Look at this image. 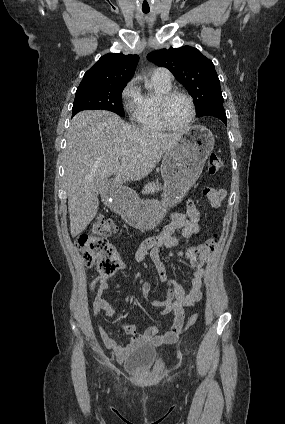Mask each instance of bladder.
I'll list each match as a JSON object with an SVG mask.
<instances>
[{"mask_svg":"<svg viewBox=\"0 0 285 424\" xmlns=\"http://www.w3.org/2000/svg\"><path fill=\"white\" fill-rule=\"evenodd\" d=\"M159 353V348L148 344L134 347L127 353L124 366L134 373H139L150 368Z\"/></svg>","mask_w":285,"mask_h":424,"instance_id":"bladder-1","label":"bladder"}]
</instances>
